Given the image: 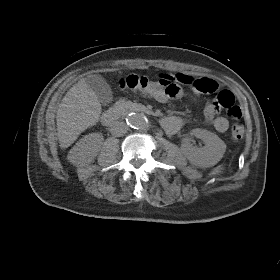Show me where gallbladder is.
Returning <instances> with one entry per match:
<instances>
[{
	"instance_id": "gallbladder-1",
	"label": "gallbladder",
	"mask_w": 280,
	"mask_h": 280,
	"mask_svg": "<svg viewBox=\"0 0 280 280\" xmlns=\"http://www.w3.org/2000/svg\"><path fill=\"white\" fill-rule=\"evenodd\" d=\"M86 83L95 92L98 100L103 105H107L112 101L113 96L111 88L103 77L100 75L90 76L86 78Z\"/></svg>"
}]
</instances>
